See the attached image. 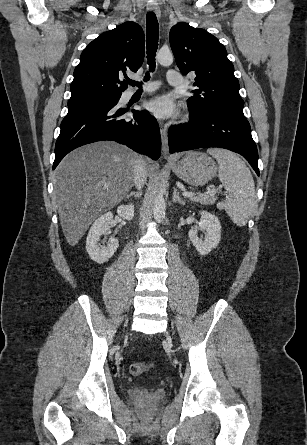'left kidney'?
<instances>
[{"instance_id":"obj_1","label":"left kidney","mask_w":307,"mask_h":445,"mask_svg":"<svg viewBox=\"0 0 307 445\" xmlns=\"http://www.w3.org/2000/svg\"><path fill=\"white\" fill-rule=\"evenodd\" d=\"M199 212L201 214L199 227H193L188 235L198 253H200V255H208V253H211L212 249H216L220 243V220L215 214L206 212V210H199ZM198 231H205L204 239L198 237Z\"/></svg>"}]
</instances>
